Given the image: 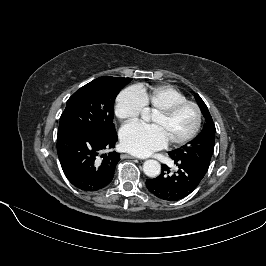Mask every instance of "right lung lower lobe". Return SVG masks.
<instances>
[{"instance_id": "1", "label": "right lung lower lobe", "mask_w": 266, "mask_h": 266, "mask_svg": "<svg viewBox=\"0 0 266 266\" xmlns=\"http://www.w3.org/2000/svg\"><path fill=\"white\" fill-rule=\"evenodd\" d=\"M116 141V132L105 136L81 130L58 133L57 152L67 179L83 191L106 187L114 177L120 154L113 151L101 155V152L114 148Z\"/></svg>"}]
</instances>
